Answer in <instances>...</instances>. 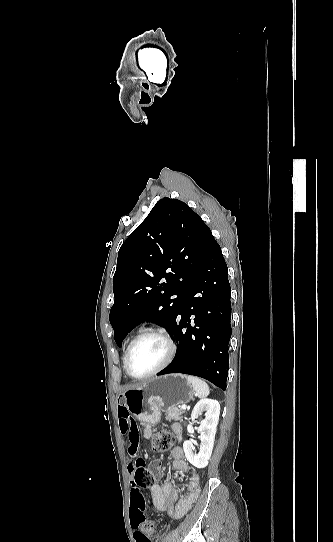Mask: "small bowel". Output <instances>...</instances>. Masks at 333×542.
Masks as SVG:
<instances>
[{
    "instance_id": "1",
    "label": "small bowel",
    "mask_w": 333,
    "mask_h": 542,
    "mask_svg": "<svg viewBox=\"0 0 333 542\" xmlns=\"http://www.w3.org/2000/svg\"><path fill=\"white\" fill-rule=\"evenodd\" d=\"M117 414L120 420V432L123 437V442L128 445V452L133 457L136 455L139 448L138 428L135 420L130 416L128 409L125 406H119ZM172 431L177 436L178 440L182 439V427L179 424L172 426ZM144 435L146 439H150L153 435V428L150 424L145 426ZM172 469L178 470L186 474V488L180 499L178 496L181 492V487L175 486L170 480L163 484H155L151 487V495L153 504L159 511L166 512L174 519L183 517L197 501L200 491V476L194 471L191 465L184 459L183 450L180 446H175L171 450ZM129 469L134 470V463H131ZM159 473V469H155ZM134 490V489H133ZM130 523L131 529L138 531L142 524L137 520L139 514L137 508L131 500Z\"/></svg>"
}]
</instances>
